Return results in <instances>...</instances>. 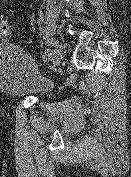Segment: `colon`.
Listing matches in <instances>:
<instances>
[{
	"label": "colon",
	"mask_w": 131,
	"mask_h": 177,
	"mask_svg": "<svg viewBox=\"0 0 131 177\" xmlns=\"http://www.w3.org/2000/svg\"><path fill=\"white\" fill-rule=\"evenodd\" d=\"M11 35L12 31L8 19L0 16V41L8 40Z\"/></svg>",
	"instance_id": "5ec220e1"
}]
</instances>
